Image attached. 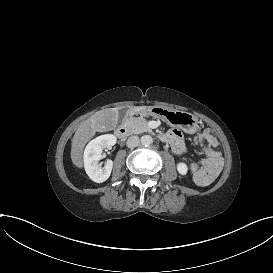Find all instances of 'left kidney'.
<instances>
[{
  "label": "left kidney",
  "mask_w": 273,
  "mask_h": 273,
  "mask_svg": "<svg viewBox=\"0 0 273 273\" xmlns=\"http://www.w3.org/2000/svg\"><path fill=\"white\" fill-rule=\"evenodd\" d=\"M177 170L181 175H186L188 171V167L185 163H178Z\"/></svg>",
  "instance_id": "left-kidney-1"
}]
</instances>
